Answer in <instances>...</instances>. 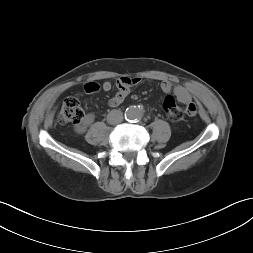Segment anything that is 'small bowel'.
<instances>
[{"mask_svg": "<svg viewBox=\"0 0 253 253\" xmlns=\"http://www.w3.org/2000/svg\"><path fill=\"white\" fill-rule=\"evenodd\" d=\"M141 82L140 77H121L117 80V92L108 100V104L112 107L120 105L128 96L130 89ZM112 85L110 82H105L102 89L105 92L110 91ZM160 88L164 93H173L179 102L186 106L182 109L181 114L184 118H193L197 113V107L193 102L191 93L183 86H173L170 81L164 80L160 84ZM84 89L87 93H95L99 90V85L95 82H88Z\"/></svg>", "mask_w": 253, "mask_h": 253, "instance_id": "small-bowel-1", "label": "small bowel"}]
</instances>
